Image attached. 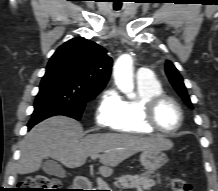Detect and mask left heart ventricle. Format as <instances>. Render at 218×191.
<instances>
[{
    "label": "left heart ventricle",
    "mask_w": 218,
    "mask_h": 191,
    "mask_svg": "<svg viewBox=\"0 0 218 191\" xmlns=\"http://www.w3.org/2000/svg\"><path fill=\"white\" fill-rule=\"evenodd\" d=\"M156 120L161 128L172 130L179 124V112L171 102L164 101L157 108Z\"/></svg>",
    "instance_id": "1"
}]
</instances>
